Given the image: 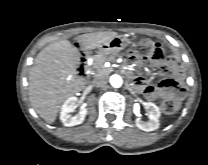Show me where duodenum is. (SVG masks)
<instances>
[{
    "label": "duodenum",
    "instance_id": "obj_1",
    "mask_svg": "<svg viewBox=\"0 0 208 165\" xmlns=\"http://www.w3.org/2000/svg\"><path fill=\"white\" fill-rule=\"evenodd\" d=\"M88 59H89V57L86 54H83L79 57L77 69H78L79 76L82 77V78L86 77V75H87L84 68L88 63ZM122 71L126 75L131 76L129 71H127V70H122Z\"/></svg>",
    "mask_w": 208,
    "mask_h": 165
}]
</instances>
